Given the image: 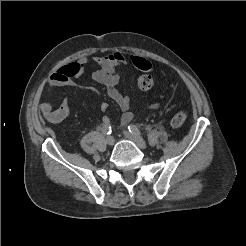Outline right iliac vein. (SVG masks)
<instances>
[{
	"label": "right iliac vein",
	"instance_id": "63e3f726",
	"mask_svg": "<svg viewBox=\"0 0 246 246\" xmlns=\"http://www.w3.org/2000/svg\"><path fill=\"white\" fill-rule=\"evenodd\" d=\"M106 142H107L108 145L112 146L114 144V142H115V139H114L113 136H108L106 138Z\"/></svg>",
	"mask_w": 246,
	"mask_h": 246
}]
</instances>
